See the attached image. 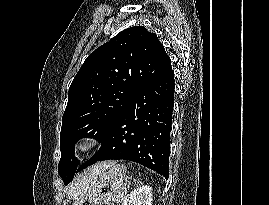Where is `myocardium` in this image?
<instances>
[{"label": "myocardium", "mask_w": 269, "mask_h": 205, "mask_svg": "<svg viewBox=\"0 0 269 205\" xmlns=\"http://www.w3.org/2000/svg\"><path fill=\"white\" fill-rule=\"evenodd\" d=\"M102 144L101 138L94 132H86L80 135L73 145V152L77 155L88 154Z\"/></svg>", "instance_id": "f54148a6"}]
</instances>
